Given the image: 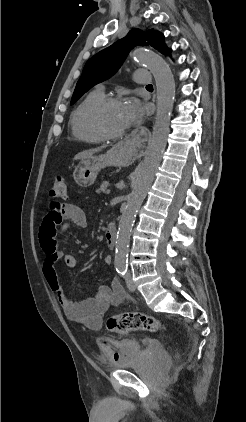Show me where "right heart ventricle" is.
<instances>
[{
    "label": "right heart ventricle",
    "instance_id": "e07e8e85",
    "mask_svg": "<svg viewBox=\"0 0 246 422\" xmlns=\"http://www.w3.org/2000/svg\"><path fill=\"white\" fill-rule=\"evenodd\" d=\"M104 97L105 94L102 90L95 89L89 92L72 112L71 129L74 137L78 140L94 144L105 140L94 128L91 121L93 107Z\"/></svg>",
    "mask_w": 246,
    "mask_h": 422
}]
</instances>
